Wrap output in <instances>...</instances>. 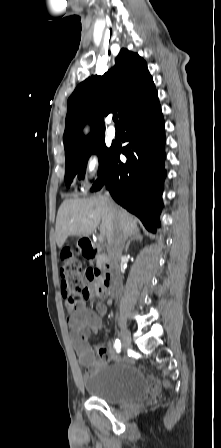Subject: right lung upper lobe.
Returning <instances> with one entry per match:
<instances>
[{
  "label": "right lung upper lobe",
  "instance_id": "cb5924a9",
  "mask_svg": "<svg viewBox=\"0 0 221 448\" xmlns=\"http://www.w3.org/2000/svg\"><path fill=\"white\" fill-rule=\"evenodd\" d=\"M157 91L146 62L137 54L121 49L114 67L103 76H92L80 83L68 99L64 147L66 158L81 152L92 141L103 138L104 116L118 111L124 116ZM89 122L91 133L82 128Z\"/></svg>",
  "mask_w": 221,
  "mask_h": 448
}]
</instances>
